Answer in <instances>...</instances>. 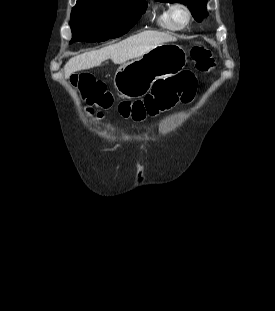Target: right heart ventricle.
<instances>
[{
  "label": "right heart ventricle",
  "mask_w": 275,
  "mask_h": 311,
  "mask_svg": "<svg viewBox=\"0 0 275 311\" xmlns=\"http://www.w3.org/2000/svg\"><path fill=\"white\" fill-rule=\"evenodd\" d=\"M169 8L170 7H163L157 12L156 24L160 29H163L166 31H178L177 29L173 27V25L170 22Z\"/></svg>",
  "instance_id": "e07e8e85"
}]
</instances>
